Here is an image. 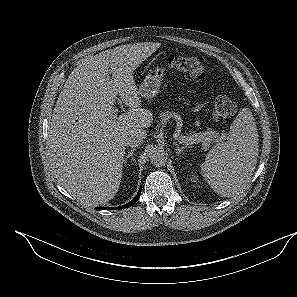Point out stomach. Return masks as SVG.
Segmentation results:
<instances>
[{"instance_id": "stomach-1", "label": "stomach", "mask_w": 297, "mask_h": 297, "mask_svg": "<svg viewBox=\"0 0 297 297\" xmlns=\"http://www.w3.org/2000/svg\"><path fill=\"white\" fill-rule=\"evenodd\" d=\"M165 70L164 66H156L148 71L139 87V93L142 97L153 98L158 94Z\"/></svg>"}]
</instances>
